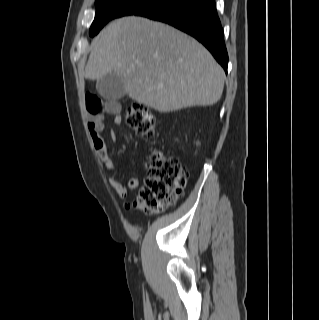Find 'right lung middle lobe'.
<instances>
[{
  "label": "right lung middle lobe",
  "mask_w": 319,
  "mask_h": 320,
  "mask_svg": "<svg viewBox=\"0 0 319 320\" xmlns=\"http://www.w3.org/2000/svg\"><path fill=\"white\" fill-rule=\"evenodd\" d=\"M167 1L168 0H96V15L90 28V36L96 35L111 19L125 15H137L146 9Z\"/></svg>",
  "instance_id": "obj_1"
}]
</instances>
